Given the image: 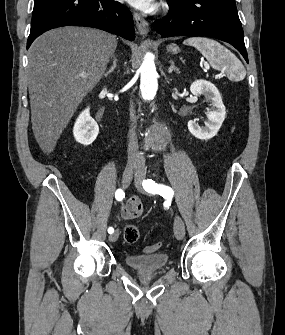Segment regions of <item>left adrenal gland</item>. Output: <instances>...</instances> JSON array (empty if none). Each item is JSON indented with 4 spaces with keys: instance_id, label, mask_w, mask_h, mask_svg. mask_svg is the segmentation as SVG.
Here are the masks:
<instances>
[{
    "instance_id": "1",
    "label": "left adrenal gland",
    "mask_w": 285,
    "mask_h": 335,
    "mask_svg": "<svg viewBox=\"0 0 285 335\" xmlns=\"http://www.w3.org/2000/svg\"><path fill=\"white\" fill-rule=\"evenodd\" d=\"M169 62H170V68L168 70L169 74H172V72H177L178 74L179 68H176V66H174L173 60H169Z\"/></svg>"
}]
</instances>
